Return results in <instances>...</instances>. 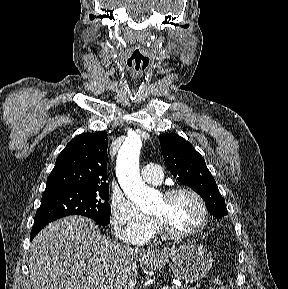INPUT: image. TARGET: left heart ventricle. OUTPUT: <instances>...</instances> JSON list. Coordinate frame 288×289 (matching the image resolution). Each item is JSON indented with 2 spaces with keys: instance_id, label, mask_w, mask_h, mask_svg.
Masks as SVG:
<instances>
[{
  "instance_id": "b2bd125f",
  "label": "left heart ventricle",
  "mask_w": 288,
  "mask_h": 289,
  "mask_svg": "<svg viewBox=\"0 0 288 289\" xmlns=\"http://www.w3.org/2000/svg\"><path fill=\"white\" fill-rule=\"evenodd\" d=\"M164 220L175 232L185 233L193 230L200 222L201 211L196 200L186 194L166 202L159 198L151 212Z\"/></svg>"
}]
</instances>
